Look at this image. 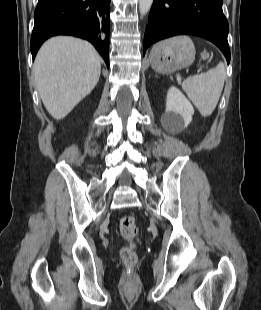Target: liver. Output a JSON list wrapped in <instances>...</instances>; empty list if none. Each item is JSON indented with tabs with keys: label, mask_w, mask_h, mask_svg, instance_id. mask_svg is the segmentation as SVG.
<instances>
[{
	"label": "liver",
	"mask_w": 261,
	"mask_h": 310,
	"mask_svg": "<svg viewBox=\"0 0 261 310\" xmlns=\"http://www.w3.org/2000/svg\"><path fill=\"white\" fill-rule=\"evenodd\" d=\"M33 71L45 108L54 119L60 120L98 83L100 56L87 41L53 37L40 48Z\"/></svg>",
	"instance_id": "6515ba94"
}]
</instances>
